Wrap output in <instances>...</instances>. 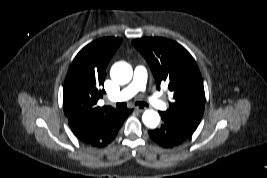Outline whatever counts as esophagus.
<instances>
[{
	"instance_id": "1",
	"label": "esophagus",
	"mask_w": 267,
	"mask_h": 178,
	"mask_svg": "<svg viewBox=\"0 0 267 178\" xmlns=\"http://www.w3.org/2000/svg\"><path fill=\"white\" fill-rule=\"evenodd\" d=\"M147 108L146 107H143V106H137L135 107V110L138 111V112H143L145 111Z\"/></svg>"
}]
</instances>
